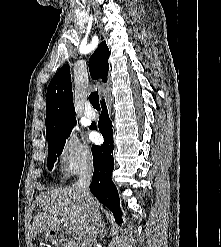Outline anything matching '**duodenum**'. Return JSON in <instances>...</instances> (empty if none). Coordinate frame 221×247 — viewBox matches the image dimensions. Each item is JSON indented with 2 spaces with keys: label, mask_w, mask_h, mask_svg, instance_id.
Instances as JSON below:
<instances>
[{
  "label": "duodenum",
  "mask_w": 221,
  "mask_h": 247,
  "mask_svg": "<svg viewBox=\"0 0 221 247\" xmlns=\"http://www.w3.org/2000/svg\"><path fill=\"white\" fill-rule=\"evenodd\" d=\"M51 237L54 244L59 247H74V244L65 240L63 234L60 231H52Z\"/></svg>",
  "instance_id": "duodenum-1"
}]
</instances>
